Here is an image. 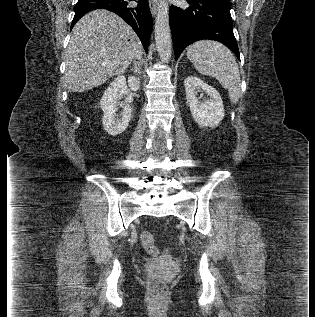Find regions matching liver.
Returning a JSON list of instances; mask_svg holds the SVG:
<instances>
[{
    "instance_id": "6515ba94",
    "label": "liver",
    "mask_w": 315,
    "mask_h": 317,
    "mask_svg": "<svg viewBox=\"0 0 315 317\" xmlns=\"http://www.w3.org/2000/svg\"><path fill=\"white\" fill-rule=\"evenodd\" d=\"M141 55L140 40L125 21L106 10L92 11L76 23L65 51L67 89L98 87Z\"/></svg>"
}]
</instances>
